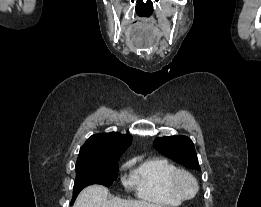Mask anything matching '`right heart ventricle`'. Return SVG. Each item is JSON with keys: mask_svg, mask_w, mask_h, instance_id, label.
I'll return each mask as SVG.
<instances>
[{"mask_svg": "<svg viewBox=\"0 0 261 207\" xmlns=\"http://www.w3.org/2000/svg\"><path fill=\"white\" fill-rule=\"evenodd\" d=\"M132 179L136 185L137 196L145 201L174 207L182 203L171 186L170 179L178 168L162 157L134 158Z\"/></svg>", "mask_w": 261, "mask_h": 207, "instance_id": "right-heart-ventricle-1", "label": "right heart ventricle"}]
</instances>
